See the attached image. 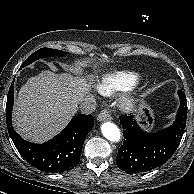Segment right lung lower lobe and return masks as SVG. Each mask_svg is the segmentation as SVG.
Wrapping results in <instances>:
<instances>
[{"mask_svg": "<svg viewBox=\"0 0 194 194\" xmlns=\"http://www.w3.org/2000/svg\"><path fill=\"white\" fill-rule=\"evenodd\" d=\"M13 91L11 85L7 96L6 123L9 135L21 156L30 165L44 172L58 173L73 169L80 160L83 143L94 125V118L84 114L74 116L56 137L44 144H33L22 139L12 127Z\"/></svg>", "mask_w": 194, "mask_h": 194, "instance_id": "right-lung-lower-lobe-1", "label": "right lung lower lobe"}]
</instances>
